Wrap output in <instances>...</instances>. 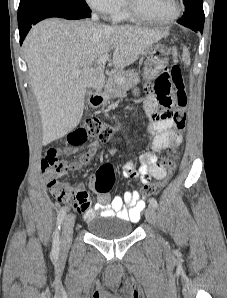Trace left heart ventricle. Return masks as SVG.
Listing matches in <instances>:
<instances>
[{
	"label": "left heart ventricle",
	"instance_id": "1",
	"mask_svg": "<svg viewBox=\"0 0 227 298\" xmlns=\"http://www.w3.org/2000/svg\"><path fill=\"white\" fill-rule=\"evenodd\" d=\"M134 3L141 13L154 19H165L174 12L173 0H134Z\"/></svg>",
	"mask_w": 227,
	"mask_h": 298
}]
</instances>
